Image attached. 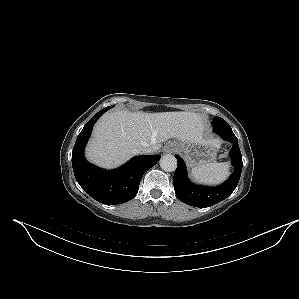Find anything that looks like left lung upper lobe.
I'll use <instances>...</instances> for the list:
<instances>
[{"instance_id":"obj_1","label":"left lung upper lobe","mask_w":299,"mask_h":299,"mask_svg":"<svg viewBox=\"0 0 299 299\" xmlns=\"http://www.w3.org/2000/svg\"><path fill=\"white\" fill-rule=\"evenodd\" d=\"M214 120H220V121H224L222 118L220 117H216Z\"/></svg>"}]
</instances>
